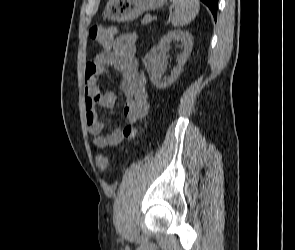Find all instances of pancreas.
Returning a JSON list of instances; mask_svg holds the SVG:
<instances>
[{"instance_id":"pancreas-1","label":"pancreas","mask_w":295,"mask_h":250,"mask_svg":"<svg viewBox=\"0 0 295 250\" xmlns=\"http://www.w3.org/2000/svg\"><path fill=\"white\" fill-rule=\"evenodd\" d=\"M151 20H152L151 16H150V15H146V16L143 18L142 23H143V24H146V23H149Z\"/></svg>"}]
</instances>
